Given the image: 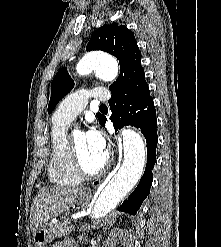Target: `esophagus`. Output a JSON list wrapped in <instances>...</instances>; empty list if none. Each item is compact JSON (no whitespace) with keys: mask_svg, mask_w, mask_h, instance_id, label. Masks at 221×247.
Here are the masks:
<instances>
[{"mask_svg":"<svg viewBox=\"0 0 221 247\" xmlns=\"http://www.w3.org/2000/svg\"><path fill=\"white\" fill-rule=\"evenodd\" d=\"M90 191V188H85L84 190H83V193H86V192H89Z\"/></svg>","mask_w":221,"mask_h":247,"instance_id":"esophagus-1","label":"esophagus"}]
</instances>
